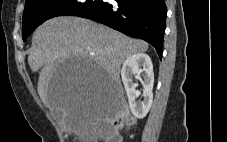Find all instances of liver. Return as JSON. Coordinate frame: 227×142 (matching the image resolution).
Instances as JSON below:
<instances>
[{
  "mask_svg": "<svg viewBox=\"0 0 227 142\" xmlns=\"http://www.w3.org/2000/svg\"><path fill=\"white\" fill-rule=\"evenodd\" d=\"M36 47L28 56L33 72L42 68L38 93L51 111L63 113L62 126L68 132L82 134L84 126L97 117L100 96L121 91L120 68L129 56L148 50V43L130 38L91 20L61 16L44 22L33 35ZM59 61H94L98 78L93 88H62L52 73Z\"/></svg>",
  "mask_w": 227,
  "mask_h": 142,
  "instance_id": "6515ba94",
  "label": "liver"
}]
</instances>
